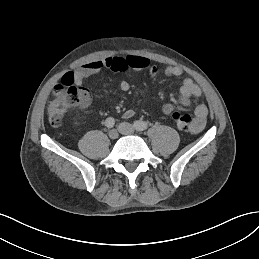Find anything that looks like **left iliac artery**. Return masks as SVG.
<instances>
[{
  "instance_id": "obj_1",
  "label": "left iliac artery",
  "mask_w": 259,
  "mask_h": 259,
  "mask_svg": "<svg viewBox=\"0 0 259 259\" xmlns=\"http://www.w3.org/2000/svg\"><path fill=\"white\" fill-rule=\"evenodd\" d=\"M134 127L137 131H144L148 127V123L144 121H135Z\"/></svg>"
}]
</instances>
